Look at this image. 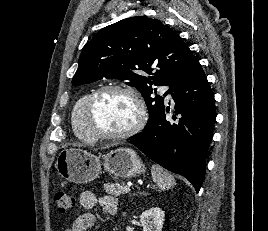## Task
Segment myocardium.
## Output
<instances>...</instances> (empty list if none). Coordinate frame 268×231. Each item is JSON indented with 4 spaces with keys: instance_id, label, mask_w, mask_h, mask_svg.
<instances>
[{
    "instance_id": "f54148a6",
    "label": "myocardium",
    "mask_w": 268,
    "mask_h": 231,
    "mask_svg": "<svg viewBox=\"0 0 268 231\" xmlns=\"http://www.w3.org/2000/svg\"><path fill=\"white\" fill-rule=\"evenodd\" d=\"M108 92H117V93L125 94L136 105L137 113H138L137 119L129 128L123 131H120V132L98 131L92 125L91 114H92L93 106L96 100L101 95L108 93ZM83 115H84L85 125L94 140L100 139V138L109 139V140H121V139L131 137L144 128L146 119H147L146 107L142 98L139 96V94L129 87L120 86V85H105L93 91L85 102Z\"/></svg>"
}]
</instances>
